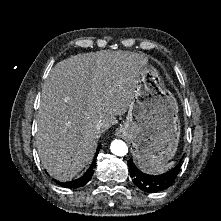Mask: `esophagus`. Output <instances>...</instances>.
<instances>
[{
  "mask_svg": "<svg viewBox=\"0 0 221 221\" xmlns=\"http://www.w3.org/2000/svg\"><path fill=\"white\" fill-rule=\"evenodd\" d=\"M116 133H117V134H121V133H122V129L118 128V129L116 130Z\"/></svg>",
  "mask_w": 221,
  "mask_h": 221,
  "instance_id": "34e87169",
  "label": "esophagus"
}]
</instances>
